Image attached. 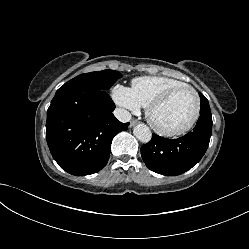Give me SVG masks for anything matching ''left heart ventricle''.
I'll return each mask as SVG.
<instances>
[{"instance_id":"obj_1","label":"left heart ventricle","mask_w":249,"mask_h":249,"mask_svg":"<svg viewBox=\"0 0 249 249\" xmlns=\"http://www.w3.org/2000/svg\"><path fill=\"white\" fill-rule=\"evenodd\" d=\"M195 105L194 94L190 90H181L153 112V120L165 130L180 129L192 118Z\"/></svg>"}]
</instances>
